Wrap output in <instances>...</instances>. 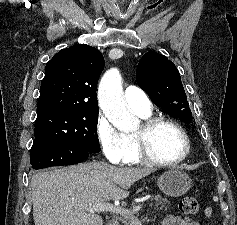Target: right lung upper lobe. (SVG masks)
I'll use <instances>...</instances> for the list:
<instances>
[{
    "label": "right lung upper lobe",
    "mask_w": 237,
    "mask_h": 225,
    "mask_svg": "<svg viewBox=\"0 0 237 225\" xmlns=\"http://www.w3.org/2000/svg\"><path fill=\"white\" fill-rule=\"evenodd\" d=\"M104 65L103 55L86 44H77L55 54L46 64L36 120L99 112L96 86Z\"/></svg>",
    "instance_id": "right-lung-upper-lobe-1"
}]
</instances>
